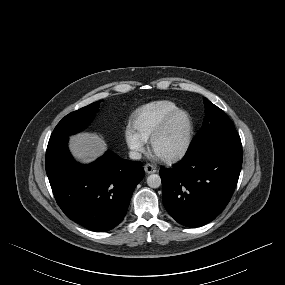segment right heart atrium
I'll use <instances>...</instances> for the list:
<instances>
[{
    "label": "right heart atrium",
    "mask_w": 285,
    "mask_h": 285,
    "mask_svg": "<svg viewBox=\"0 0 285 285\" xmlns=\"http://www.w3.org/2000/svg\"><path fill=\"white\" fill-rule=\"evenodd\" d=\"M125 140L129 149L135 154H141L145 150L146 140H144L131 126L125 130Z\"/></svg>",
    "instance_id": "1"
}]
</instances>
